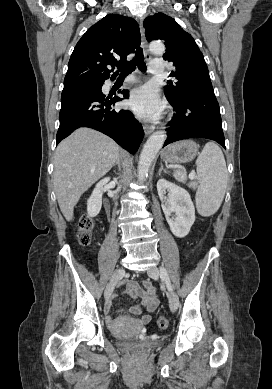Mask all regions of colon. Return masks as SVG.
Here are the masks:
<instances>
[{"label":"colon","mask_w":272,"mask_h":389,"mask_svg":"<svg viewBox=\"0 0 272 389\" xmlns=\"http://www.w3.org/2000/svg\"><path fill=\"white\" fill-rule=\"evenodd\" d=\"M94 229V222L92 218L84 215L79 222L77 239L81 245H88L92 240ZM157 326L160 329H166L168 327V320L166 317L161 316L157 319Z\"/></svg>","instance_id":"1"}]
</instances>
